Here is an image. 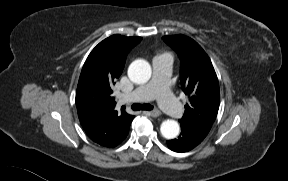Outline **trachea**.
I'll use <instances>...</instances> for the list:
<instances>
[{
    "label": "trachea",
    "mask_w": 288,
    "mask_h": 181,
    "mask_svg": "<svg viewBox=\"0 0 288 181\" xmlns=\"http://www.w3.org/2000/svg\"><path fill=\"white\" fill-rule=\"evenodd\" d=\"M131 108L134 110V111H139V110H152L153 109V106L150 105V104H139V103H134Z\"/></svg>",
    "instance_id": "obj_1"
}]
</instances>
